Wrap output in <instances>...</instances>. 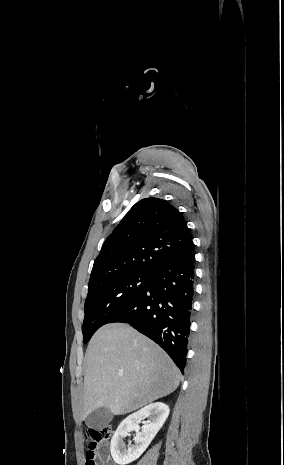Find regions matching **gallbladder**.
<instances>
[{
  "label": "gallbladder",
  "instance_id": "1",
  "mask_svg": "<svg viewBox=\"0 0 284 465\" xmlns=\"http://www.w3.org/2000/svg\"><path fill=\"white\" fill-rule=\"evenodd\" d=\"M113 415L109 409H97V411H93L90 413L88 417H86V425L90 427V429H104L109 425L110 421H112Z\"/></svg>",
  "mask_w": 284,
  "mask_h": 465
}]
</instances>
